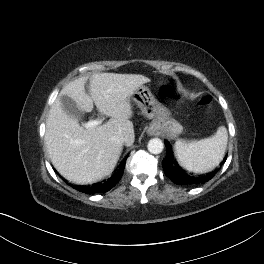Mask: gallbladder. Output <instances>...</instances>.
Listing matches in <instances>:
<instances>
[{
	"label": "gallbladder",
	"mask_w": 264,
	"mask_h": 264,
	"mask_svg": "<svg viewBox=\"0 0 264 264\" xmlns=\"http://www.w3.org/2000/svg\"><path fill=\"white\" fill-rule=\"evenodd\" d=\"M61 107L64 112L70 117L80 119L83 115V111L80 110L77 104L68 96L63 95L60 97Z\"/></svg>",
	"instance_id": "1"
}]
</instances>
